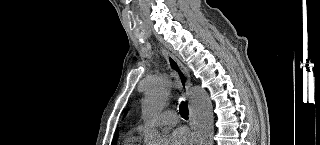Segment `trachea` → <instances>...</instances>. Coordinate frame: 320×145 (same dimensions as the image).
I'll list each match as a JSON object with an SVG mask.
<instances>
[{
  "instance_id": "trachea-1",
  "label": "trachea",
  "mask_w": 320,
  "mask_h": 145,
  "mask_svg": "<svg viewBox=\"0 0 320 145\" xmlns=\"http://www.w3.org/2000/svg\"><path fill=\"white\" fill-rule=\"evenodd\" d=\"M179 112L184 119H188V106L184 101L179 105Z\"/></svg>"
}]
</instances>
